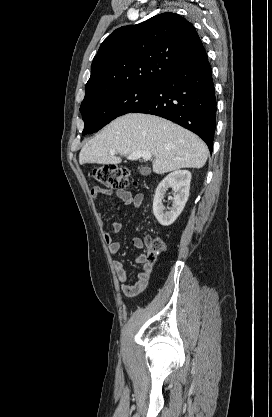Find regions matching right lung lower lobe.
I'll use <instances>...</instances> for the list:
<instances>
[{
  "instance_id": "98d812e1",
  "label": "right lung lower lobe",
  "mask_w": 272,
  "mask_h": 417,
  "mask_svg": "<svg viewBox=\"0 0 272 417\" xmlns=\"http://www.w3.org/2000/svg\"><path fill=\"white\" fill-rule=\"evenodd\" d=\"M132 112L171 120L196 133L212 152L216 98L206 51L164 77L151 98Z\"/></svg>"
}]
</instances>
